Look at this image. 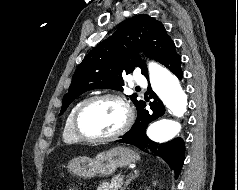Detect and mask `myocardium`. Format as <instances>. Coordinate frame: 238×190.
<instances>
[{
  "label": "myocardium",
  "instance_id": "f54148a6",
  "mask_svg": "<svg viewBox=\"0 0 238 190\" xmlns=\"http://www.w3.org/2000/svg\"><path fill=\"white\" fill-rule=\"evenodd\" d=\"M101 100H114L118 102L125 113V120L122 126L115 131L112 134L105 135V136H91L85 134L81 128H80V118L82 113L85 111L87 107H89L91 104L101 101ZM134 119V113L133 109L130 105V103L127 101V99L118 93H103L99 95H94L86 100H84L77 110L75 111L74 117H73V129L76 135L79 137V139L86 141V142H106V141H111L114 140L123 134H125L129 128L131 127Z\"/></svg>",
  "mask_w": 238,
  "mask_h": 190
}]
</instances>
